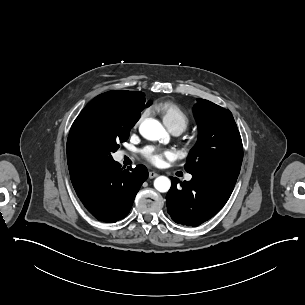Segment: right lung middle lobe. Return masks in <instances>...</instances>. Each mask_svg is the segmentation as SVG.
Returning <instances> with one entry per match:
<instances>
[{
	"instance_id": "right-lung-middle-lobe-1",
	"label": "right lung middle lobe",
	"mask_w": 305,
	"mask_h": 305,
	"mask_svg": "<svg viewBox=\"0 0 305 305\" xmlns=\"http://www.w3.org/2000/svg\"><path fill=\"white\" fill-rule=\"evenodd\" d=\"M138 120L117 119L107 123L86 116L78 132L84 161L88 166L103 167L113 163L112 153L125 142Z\"/></svg>"
}]
</instances>
